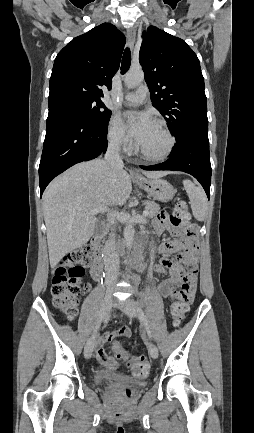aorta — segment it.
<instances>
[{"mask_svg":"<svg viewBox=\"0 0 254 433\" xmlns=\"http://www.w3.org/2000/svg\"><path fill=\"white\" fill-rule=\"evenodd\" d=\"M144 80V73L142 70H130L124 78L127 88H135L140 85ZM134 227L131 223L126 224L124 228V240L128 249H131L134 242Z\"/></svg>","mask_w":254,"mask_h":433,"instance_id":"obj_1","label":"aorta"}]
</instances>
